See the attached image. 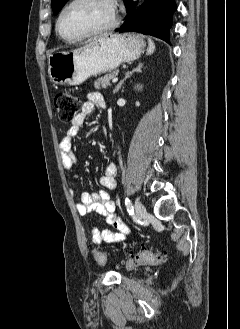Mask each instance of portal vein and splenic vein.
Listing matches in <instances>:
<instances>
[{"instance_id":"portal-vein-and-splenic-vein-1","label":"portal vein and splenic vein","mask_w":240,"mask_h":329,"mask_svg":"<svg viewBox=\"0 0 240 329\" xmlns=\"http://www.w3.org/2000/svg\"><path fill=\"white\" fill-rule=\"evenodd\" d=\"M117 81H118L117 77L112 80L113 83H116Z\"/></svg>"}]
</instances>
